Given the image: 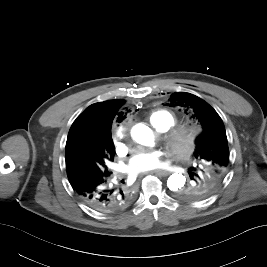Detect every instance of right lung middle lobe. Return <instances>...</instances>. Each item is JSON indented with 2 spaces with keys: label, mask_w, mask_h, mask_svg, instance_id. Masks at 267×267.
<instances>
[{
  "label": "right lung middle lobe",
  "mask_w": 267,
  "mask_h": 267,
  "mask_svg": "<svg viewBox=\"0 0 267 267\" xmlns=\"http://www.w3.org/2000/svg\"><path fill=\"white\" fill-rule=\"evenodd\" d=\"M97 140L89 133L79 132L66 144V170L70 182L83 175L107 176L112 173L109 164L114 159L115 148L111 134Z\"/></svg>",
  "instance_id": "1"
}]
</instances>
